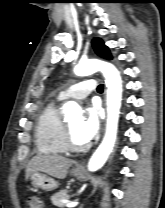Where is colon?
Returning a JSON list of instances; mask_svg holds the SVG:
<instances>
[{
    "label": "colon",
    "instance_id": "5ec220e1",
    "mask_svg": "<svg viewBox=\"0 0 165 208\" xmlns=\"http://www.w3.org/2000/svg\"><path fill=\"white\" fill-rule=\"evenodd\" d=\"M29 208H43L42 202L36 196H31L28 199Z\"/></svg>",
    "mask_w": 165,
    "mask_h": 208
}]
</instances>
